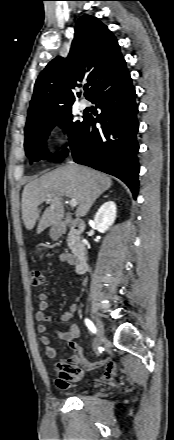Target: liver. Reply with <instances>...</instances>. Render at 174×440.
Instances as JSON below:
<instances>
[{
	"instance_id": "6515ba94",
	"label": "liver",
	"mask_w": 174,
	"mask_h": 440,
	"mask_svg": "<svg viewBox=\"0 0 174 440\" xmlns=\"http://www.w3.org/2000/svg\"><path fill=\"white\" fill-rule=\"evenodd\" d=\"M112 185L109 176L74 163L61 166L29 182L22 193V220L27 230H32L39 219V206L49 207L39 220L37 232L55 225L64 216L63 197L76 199L75 216L84 217L96 199Z\"/></svg>"
}]
</instances>
